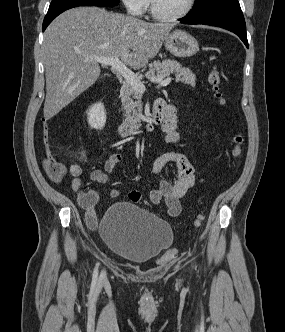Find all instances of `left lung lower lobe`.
<instances>
[{
    "label": "left lung lower lobe",
    "instance_id": "obj_1",
    "mask_svg": "<svg viewBox=\"0 0 285 332\" xmlns=\"http://www.w3.org/2000/svg\"><path fill=\"white\" fill-rule=\"evenodd\" d=\"M180 21L185 24H204L227 29L238 35L248 48L246 24L241 10L224 11L203 16H187L180 19Z\"/></svg>",
    "mask_w": 285,
    "mask_h": 332
}]
</instances>
